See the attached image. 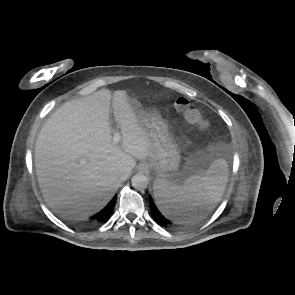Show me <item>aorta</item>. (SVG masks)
<instances>
[{
  "label": "aorta",
  "instance_id": "1",
  "mask_svg": "<svg viewBox=\"0 0 295 295\" xmlns=\"http://www.w3.org/2000/svg\"><path fill=\"white\" fill-rule=\"evenodd\" d=\"M131 184L137 190H144L148 186V178L142 173H137L132 177Z\"/></svg>",
  "mask_w": 295,
  "mask_h": 295
}]
</instances>
